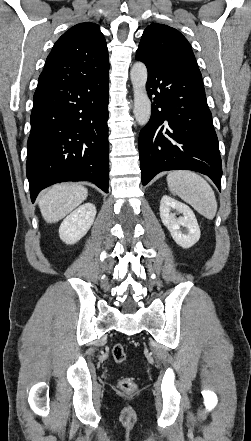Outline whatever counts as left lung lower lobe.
<instances>
[{"mask_svg": "<svg viewBox=\"0 0 251 441\" xmlns=\"http://www.w3.org/2000/svg\"><path fill=\"white\" fill-rule=\"evenodd\" d=\"M144 63L152 110L151 119L139 135L142 184L159 172L186 169L209 176L220 190L218 139L202 77Z\"/></svg>", "mask_w": 251, "mask_h": 441, "instance_id": "1", "label": "left lung lower lobe"}]
</instances>
